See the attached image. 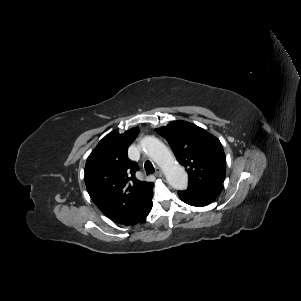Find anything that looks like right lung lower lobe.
Segmentation results:
<instances>
[{
	"mask_svg": "<svg viewBox=\"0 0 301 301\" xmlns=\"http://www.w3.org/2000/svg\"><path fill=\"white\" fill-rule=\"evenodd\" d=\"M152 197L153 191L147 196L145 203L143 204L142 208L138 211V213L125 225H135L147 217L152 208Z\"/></svg>",
	"mask_w": 301,
	"mask_h": 301,
	"instance_id": "obj_1",
	"label": "right lung lower lobe"
}]
</instances>
